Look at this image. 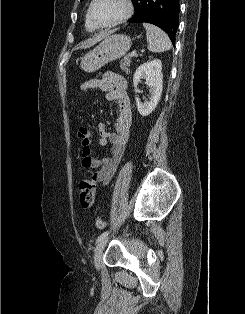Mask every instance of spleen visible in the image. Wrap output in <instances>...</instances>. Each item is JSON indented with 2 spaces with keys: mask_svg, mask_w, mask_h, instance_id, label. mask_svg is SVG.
<instances>
[{
  "mask_svg": "<svg viewBox=\"0 0 245 314\" xmlns=\"http://www.w3.org/2000/svg\"><path fill=\"white\" fill-rule=\"evenodd\" d=\"M143 26L146 29L149 51L153 53H160L171 49V41L163 30L149 23H143Z\"/></svg>",
  "mask_w": 245,
  "mask_h": 314,
  "instance_id": "3e777b00",
  "label": "spleen"
}]
</instances>
